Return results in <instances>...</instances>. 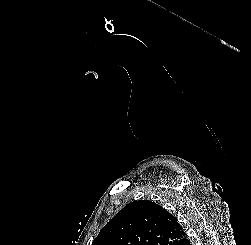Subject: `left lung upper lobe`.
<instances>
[{
  "mask_svg": "<svg viewBox=\"0 0 251 245\" xmlns=\"http://www.w3.org/2000/svg\"><path fill=\"white\" fill-rule=\"evenodd\" d=\"M185 235L177 219L163 207L137 200L121 209L92 245H175Z\"/></svg>",
  "mask_w": 251,
  "mask_h": 245,
  "instance_id": "left-lung-upper-lobe-1",
  "label": "left lung upper lobe"
}]
</instances>
